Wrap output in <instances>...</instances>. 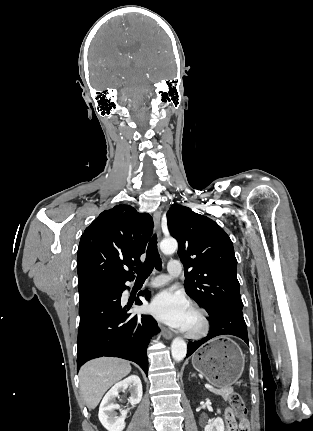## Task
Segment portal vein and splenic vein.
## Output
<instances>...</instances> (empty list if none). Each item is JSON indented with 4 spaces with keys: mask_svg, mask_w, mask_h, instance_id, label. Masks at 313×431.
<instances>
[{
    "mask_svg": "<svg viewBox=\"0 0 313 431\" xmlns=\"http://www.w3.org/2000/svg\"><path fill=\"white\" fill-rule=\"evenodd\" d=\"M205 387L207 388V389H212L213 387L211 386V385H209V384H206L205 385Z\"/></svg>",
    "mask_w": 313,
    "mask_h": 431,
    "instance_id": "portal-vein-and-splenic-vein-1",
    "label": "portal vein and splenic vein"
}]
</instances>
